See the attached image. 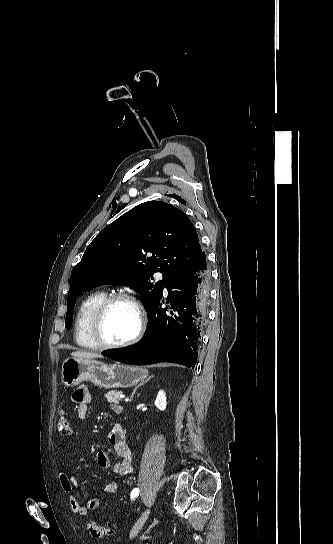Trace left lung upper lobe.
<instances>
[{
	"label": "left lung upper lobe",
	"mask_w": 333,
	"mask_h": 544,
	"mask_svg": "<svg viewBox=\"0 0 333 544\" xmlns=\"http://www.w3.org/2000/svg\"><path fill=\"white\" fill-rule=\"evenodd\" d=\"M201 251L195 227L180 209L160 201L134 207L103 229L73 268L65 327L71 328L82 291L102 284L129 285L149 309ZM156 272L163 279L152 282Z\"/></svg>",
	"instance_id": "left-lung-upper-lobe-1"
}]
</instances>
